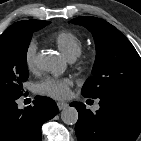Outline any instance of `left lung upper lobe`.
I'll return each mask as SVG.
<instances>
[{
  "label": "left lung upper lobe",
  "instance_id": "obj_1",
  "mask_svg": "<svg viewBox=\"0 0 141 141\" xmlns=\"http://www.w3.org/2000/svg\"><path fill=\"white\" fill-rule=\"evenodd\" d=\"M71 22L90 30L96 45L93 75L85 82L82 95L100 98L118 94L141 98V58L130 41L100 18L79 17Z\"/></svg>",
  "mask_w": 141,
  "mask_h": 141
}]
</instances>
